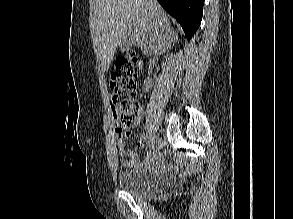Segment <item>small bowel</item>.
<instances>
[{
    "instance_id": "small-bowel-1",
    "label": "small bowel",
    "mask_w": 293,
    "mask_h": 219,
    "mask_svg": "<svg viewBox=\"0 0 293 219\" xmlns=\"http://www.w3.org/2000/svg\"><path fill=\"white\" fill-rule=\"evenodd\" d=\"M111 110H112L114 117L117 120V118H118L117 108L114 105H112ZM143 112H144V110H143L142 106H138L135 120L128 127L121 128L119 126L118 121H116V123H115V132L117 135L118 151H119V155L122 157L121 165L124 167H132V166H135L138 164V160L136 158L135 151L126 149V141H127L128 137L130 136L132 130L137 128L141 124V121L143 118ZM145 140H146V135L143 134L137 143V148L142 147L145 144Z\"/></svg>"
}]
</instances>
